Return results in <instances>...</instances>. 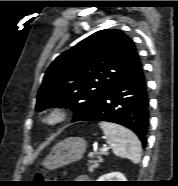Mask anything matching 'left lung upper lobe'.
Returning a JSON list of instances; mask_svg holds the SVG:
<instances>
[{"mask_svg":"<svg viewBox=\"0 0 178 186\" xmlns=\"http://www.w3.org/2000/svg\"><path fill=\"white\" fill-rule=\"evenodd\" d=\"M140 65L135 44L127 35L117 29L97 31L52 62L39 89L36 110L69 107L75 120Z\"/></svg>","mask_w":178,"mask_h":186,"instance_id":"left-lung-upper-lobe-1","label":"left lung upper lobe"}]
</instances>
